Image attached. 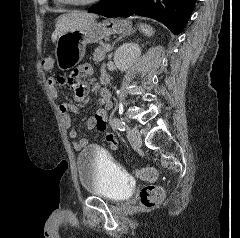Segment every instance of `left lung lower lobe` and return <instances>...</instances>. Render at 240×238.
Wrapping results in <instances>:
<instances>
[{"mask_svg":"<svg viewBox=\"0 0 240 238\" xmlns=\"http://www.w3.org/2000/svg\"><path fill=\"white\" fill-rule=\"evenodd\" d=\"M196 0H101L88 11L105 17L146 16L178 35L185 27Z\"/></svg>","mask_w":240,"mask_h":238,"instance_id":"left-lung-lower-lobe-1","label":"left lung lower lobe"}]
</instances>
